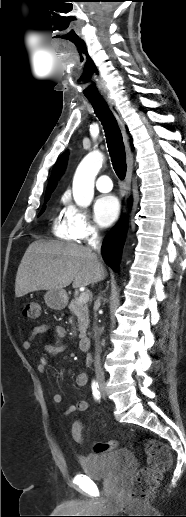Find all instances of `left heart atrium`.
I'll list each match as a JSON object with an SVG mask.
<instances>
[{"label":"left heart atrium","mask_w":186,"mask_h":517,"mask_svg":"<svg viewBox=\"0 0 186 517\" xmlns=\"http://www.w3.org/2000/svg\"><path fill=\"white\" fill-rule=\"evenodd\" d=\"M119 214V202L112 195L101 196L94 204V215L102 227L111 225Z\"/></svg>","instance_id":"obj_1"}]
</instances>
